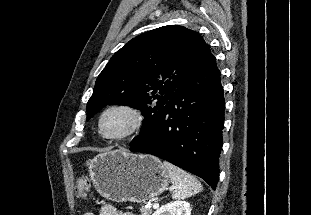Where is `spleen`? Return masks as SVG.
I'll return each mask as SVG.
<instances>
[{"instance_id": "3e777b00", "label": "spleen", "mask_w": 311, "mask_h": 215, "mask_svg": "<svg viewBox=\"0 0 311 215\" xmlns=\"http://www.w3.org/2000/svg\"><path fill=\"white\" fill-rule=\"evenodd\" d=\"M162 165L173 184V199H185L202 191L201 183L190 173L166 161Z\"/></svg>"}]
</instances>
